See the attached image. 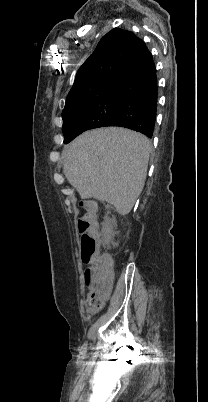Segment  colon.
<instances>
[{"mask_svg": "<svg viewBox=\"0 0 208 402\" xmlns=\"http://www.w3.org/2000/svg\"><path fill=\"white\" fill-rule=\"evenodd\" d=\"M80 229L79 239L82 242L79 250L84 265H88L85 270L84 278L89 281V289L92 292L87 294L85 300L86 308H103L107 295L112 294L111 275L114 273L113 257L106 256V252H101V232H86L92 227L90 216H83L78 220Z\"/></svg>", "mask_w": 208, "mask_h": 402, "instance_id": "obj_1", "label": "colon"}]
</instances>
